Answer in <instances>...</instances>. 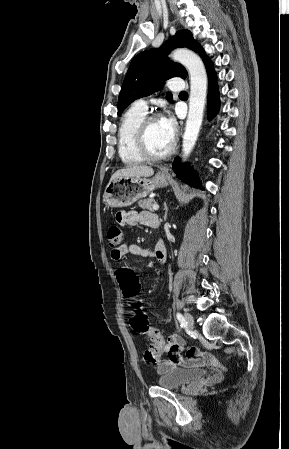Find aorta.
Listing matches in <instances>:
<instances>
[{
    "label": "aorta",
    "instance_id": "1",
    "mask_svg": "<svg viewBox=\"0 0 289 449\" xmlns=\"http://www.w3.org/2000/svg\"><path fill=\"white\" fill-rule=\"evenodd\" d=\"M172 59L183 64L190 76L189 112L183 135V157L189 156L198 138L207 96V74L200 57L187 49H176Z\"/></svg>",
    "mask_w": 289,
    "mask_h": 449
}]
</instances>
